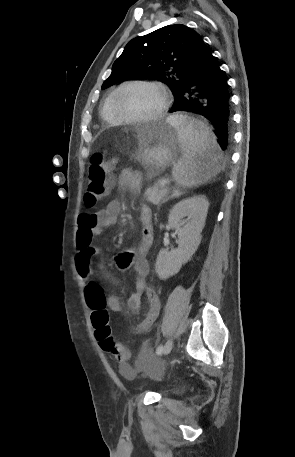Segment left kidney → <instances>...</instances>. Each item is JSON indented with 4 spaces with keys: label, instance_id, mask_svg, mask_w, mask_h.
<instances>
[{
    "label": "left kidney",
    "instance_id": "5707ae66",
    "mask_svg": "<svg viewBox=\"0 0 295 457\" xmlns=\"http://www.w3.org/2000/svg\"><path fill=\"white\" fill-rule=\"evenodd\" d=\"M208 208L209 202L203 196L184 199L173 207L168 224L178 235V248L159 252L155 271L160 279L165 280L177 274L197 251Z\"/></svg>",
    "mask_w": 295,
    "mask_h": 457
}]
</instances>
